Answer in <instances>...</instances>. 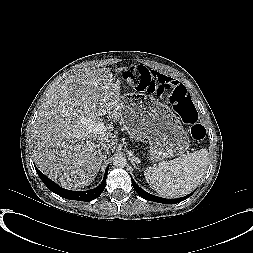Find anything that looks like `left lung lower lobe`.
Wrapping results in <instances>:
<instances>
[{"mask_svg":"<svg viewBox=\"0 0 253 253\" xmlns=\"http://www.w3.org/2000/svg\"><path fill=\"white\" fill-rule=\"evenodd\" d=\"M131 180H132V185L135 189V191L141 196L143 197L144 199L148 200V201H154V202H159V203H165V204H175V203H178V202H181L185 199H187L188 197H190L193 192L187 196H184V197H181V198H178V199H165V198H161V197H157V196H154L152 194H149L147 192H145L142 188H140L136 183L135 181L133 180V178L131 177Z\"/></svg>","mask_w":253,"mask_h":253,"instance_id":"1","label":"left lung lower lobe"}]
</instances>
